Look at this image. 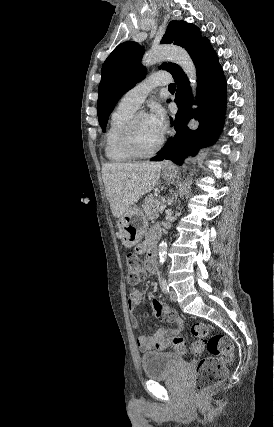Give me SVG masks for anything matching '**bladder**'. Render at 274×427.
<instances>
[{"label": "bladder", "instance_id": "1", "mask_svg": "<svg viewBox=\"0 0 274 427\" xmlns=\"http://www.w3.org/2000/svg\"><path fill=\"white\" fill-rule=\"evenodd\" d=\"M141 365L147 379L157 380L171 376L179 367V359L174 352L148 351L142 354Z\"/></svg>", "mask_w": 274, "mask_h": 427}]
</instances>
